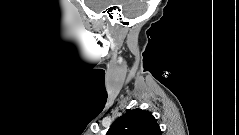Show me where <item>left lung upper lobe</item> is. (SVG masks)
<instances>
[{
  "label": "left lung upper lobe",
  "instance_id": "5c2ea615",
  "mask_svg": "<svg viewBox=\"0 0 239 135\" xmlns=\"http://www.w3.org/2000/svg\"><path fill=\"white\" fill-rule=\"evenodd\" d=\"M106 135H161V130L150 112L133 109L114 121Z\"/></svg>",
  "mask_w": 239,
  "mask_h": 135
}]
</instances>
